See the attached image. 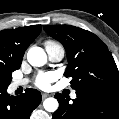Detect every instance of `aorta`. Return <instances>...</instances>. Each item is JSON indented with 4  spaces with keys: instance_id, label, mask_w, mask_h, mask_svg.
<instances>
[{
    "instance_id": "aorta-1",
    "label": "aorta",
    "mask_w": 119,
    "mask_h": 119,
    "mask_svg": "<svg viewBox=\"0 0 119 119\" xmlns=\"http://www.w3.org/2000/svg\"><path fill=\"white\" fill-rule=\"evenodd\" d=\"M28 62L32 66H43L47 62V55L40 47H32L27 53ZM44 109L48 112H55L58 109V101L55 98H47L43 102Z\"/></svg>"
}]
</instances>
